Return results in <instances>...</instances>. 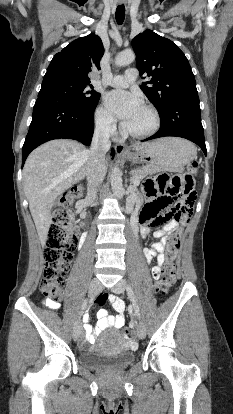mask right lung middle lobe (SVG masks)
<instances>
[{"label":"right lung middle lobe","mask_w":233,"mask_h":414,"mask_svg":"<svg viewBox=\"0 0 233 414\" xmlns=\"http://www.w3.org/2000/svg\"><path fill=\"white\" fill-rule=\"evenodd\" d=\"M91 88V89H89ZM49 97L82 108L96 107L100 94L88 82L62 76H44L38 98Z\"/></svg>","instance_id":"1"}]
</instances>
